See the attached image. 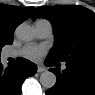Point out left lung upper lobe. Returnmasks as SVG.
<instances>
[{
    "mask_svg": "<svg viewBox=\"0 0 95 95\" xmlns=\"http://www.w3.org/2000/svg\"><path fill=\"white\" fill-rule=\"evenodd\" d=\"M48 19L55 31V45L48 58L54 61L95 64V14L77 5L39 7L33 19Z\"/></svg>",
    "mask_w": 95,
    "mask_h": 95,
    "instance_id": "obj_1",
    "label": "left lung upper lobe"
}]
</instances>
